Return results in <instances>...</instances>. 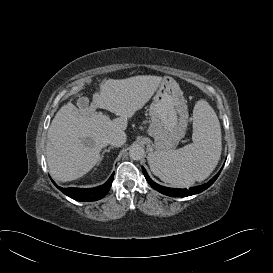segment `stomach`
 I'll use <instances>...</instances> for the list:
<instances>
[{
  "instance_id": "obj_1",
  "label": "stomach",
  "mask_w": 273,
  "mask_h": 273,
  "mask_svg": "<svg viewBox=\"0 0 273 273\" xmlns=\"http://www.w3.org/2000/svg\"><path fill=\"white\" fill-rule=\"evenodd\" d=\"M151 124L148 133L159 152L174 150L184 137L188 125V109L179 84L163 78L149 108Z\"/></svg>"
}]
</instances>
